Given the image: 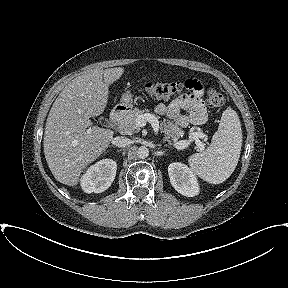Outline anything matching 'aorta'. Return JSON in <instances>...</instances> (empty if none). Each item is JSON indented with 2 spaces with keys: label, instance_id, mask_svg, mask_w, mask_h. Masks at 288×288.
I'll return each instance as SVG.
<instances>
[{
  "label": "aorta",
  "instance_id": "762f6f07",
  "mask_svg": "<svg viewBox=\"0 0 288 288\" xmlns=\"http://www.w3.org/2000/svg\"><path fill=\"white\" fill-rule=\"evenodd\" d=\"M149 155V149L145 146H141L138 148V151H137V156L140 158V159H145L147 158Z\"/></svg>",
  "mask_w": 288,
  "mask_h": 288
}]
</instances>
